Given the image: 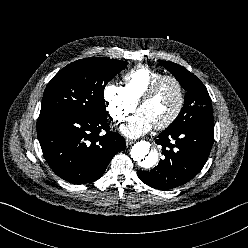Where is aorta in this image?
<instances>
[{
	"mask_svg": "<svg viewBox=\"0 0 248 248\" xmlns=\"http://www.w3.org/2000/svg\"><path fill=\"white\" fill-rule=\"evenodd\" d=\"M131 158L137 161L139 166L149 169L155 166L159 159V153L155 149H151L148 141H140L133 145L131 149Z\"/></svg>",
	"mask_w": 248,
	"mask_h": 248,
	"instance_id": "762f6f07",
	"label": "aorta"
}]
</instances>
